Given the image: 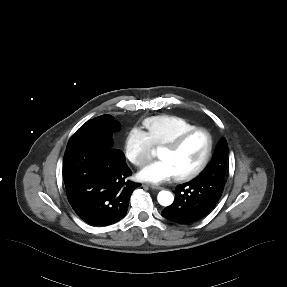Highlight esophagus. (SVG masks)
<instances>
[{
    "label": "esophagus",
    "mask_w": 287,
    "mask_h": 287,
    "mask_svg": "<svg viewBox=\"0 0 287 287\" xmlns=\"http://www.w3.org/2000/svg\"><path fill=\"white\" fill-rule=\"evenodd\" d=\"M148 187H150L151 189H156V190H161L162 187L158 186V185H154V184H148Z\"/></svg>",
    "instance_id": "esophagus-1"
}]
</instances>
